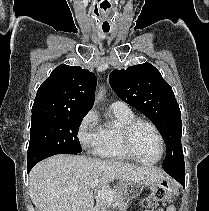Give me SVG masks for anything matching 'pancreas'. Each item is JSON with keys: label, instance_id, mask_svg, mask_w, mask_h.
<instances>
[{"label": "pancreas", "instance_id": "1", "mask_svg": "<svg viewBox=\"0 0 209 211\" xmlns=\"http://www.w3.org/2000/svg\"><path fill=\"white\" fill-rule=\"evenodd\" d=\"M111 191L116 192V195L114 197V202L118 206V210L126 211L127 203L125 202V198L121 190L117 187H114L113 189H111ZM106 207H107V201L105 199L97 198L96 211H106Z\"/></svg>", "mask_w": 209, "mask_h": 211}]
</instances>
